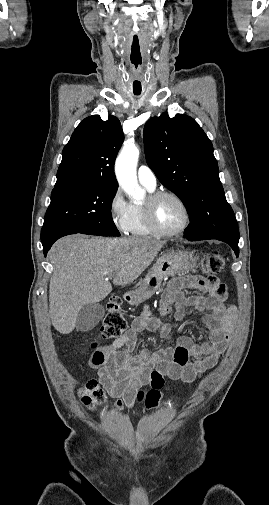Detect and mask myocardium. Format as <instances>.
<instances>
[{
  "mask_svg": "<svg viewBox=\"0 0 269 505\" xmlns=\"http://www.w3.org/2000/svg\"><path fill=\"white\" fill-rule=\"evenodd\" d=\"M163 197H171L175 199L184 209L185 212V222L184 224L176 230H164L162 229L156 219H155V206L157 202L163 198ZM142 206V211L144 215L145 222L148 226V228L158 236H164V237H172V236H179L183 234L191 225L192 222V214L191 210L186 203V201L177 193L169 190H158V191H153L148 194L146 197L145 201L143 202Z\"/></svg>",
  "mask_w": 269,
  "mask_h": 505,
  "instance_id": "1",
  "label": "myocardium"
}]
</instances>
